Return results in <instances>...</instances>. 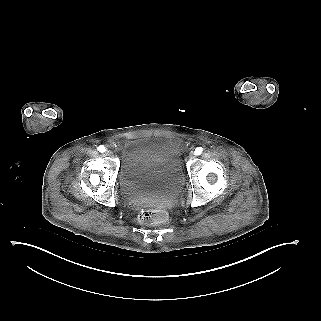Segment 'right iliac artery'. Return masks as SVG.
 <instances>
[{"label": "right iliac artery", "mask_w": 321, "mask_h": 321, "mask_svg": "<svg viewBox=\"0 0 321 321\" xmlns=\"http://www.w3.org/2000/svg\"><path fill=\"white\" fill-rule=\"evenodd\" d=\"M97 149L99 152H105V147L103 145H100Z\"/></svg>", "instance_id": "right-iliac-artery-1"}]
</instances>
